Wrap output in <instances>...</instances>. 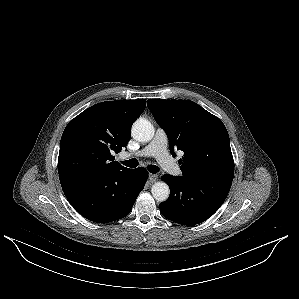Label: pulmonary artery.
Instances as JSON below:
<instances>
[{
  "instance_id": "pulmonary-artery-1",
  "label": "pulmonary artery",
  "mask_w": 299,
  "mask_h": 299,
  "mask_svg": "<svg viewBox=\"0 0 299 299\" xmlns=\"http://www.w3.org/2000/svg\"><path fill=\"white\" fill-rule=\"evenodd\" d=\"M125 157H148L156 158L161 167L173 175L181 174L180 166L169 155L168 137L162 128H158L153 139L142 149L124 154Z\"/></svg>"
}]
</instances>
